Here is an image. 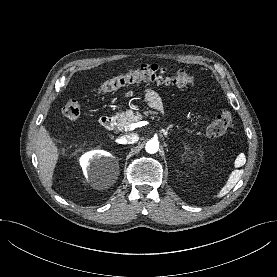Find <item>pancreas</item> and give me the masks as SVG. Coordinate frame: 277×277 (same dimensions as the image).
I'll list each match as a JSON object with an SVG mask.
<instances>
[{"mask_svg": "<svg viewBox=\"0 0 277 277\" xmlns=\"http://www.w3.org/2000/svg\"><path fill=\"white\" fill-rule=\"evenodd\" d=\"M151 114H157L154 111L150 112ZM145 115H148L149 112L145 111L144 112ZM143 118V116L139 113V112H134L131 109L126 110L125 112H122L118 119H117V128L119 130H130V125L132 123H136L138 121H140Z\"/></svg>", "mask_w": 277, "mask_h": 277, "instance_id": "obj_1", "label": "pancreas"}]
</instances>
